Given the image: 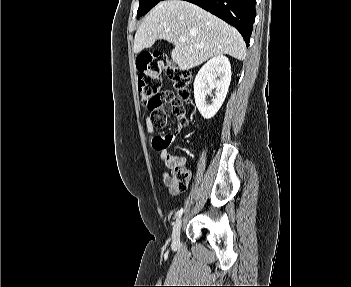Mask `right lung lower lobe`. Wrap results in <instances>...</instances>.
<instances>
[{
    "label": "right lung lower lobe",
    "mask_w": 351,
    "mask_h": 287,
    "mask_svg": "<svg viewBox=\"0 0 351 287\" xmlns=\"http://www.w3.org/2000/svg\"><path fill=\"white\" fill-rule=\"evenodd\" d=\"M233 25L248 46L255 19L256 0H186Z\"/></svg>",
    "instance_id": "1"
}]
</instances>
